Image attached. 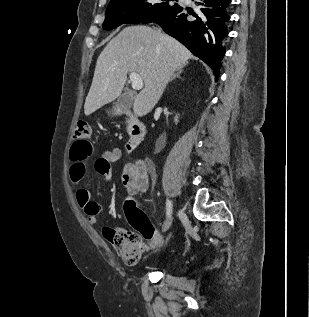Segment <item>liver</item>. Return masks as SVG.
I'll return each instance as SVG.
<instances>
[{
  "label": "liver",
  "instance_id": "liver-1",
  "mask_svg": "<svg viewBox=\"0 0 309 317\" xmlns=\"http://www.w3.org/2000/svg\"><path fill=\"white\" fill-rule=\"evenodd\" d=\"M192 57L186 47L166 34L142 25L125 27L98 57L85 115L118 98L129 72L139 74L144 84L134 99V114L146 115L159 101L173 73Z\"/></svg>",
  "mask_w": 309,
  "mask_h": 317
}]
</instances>
